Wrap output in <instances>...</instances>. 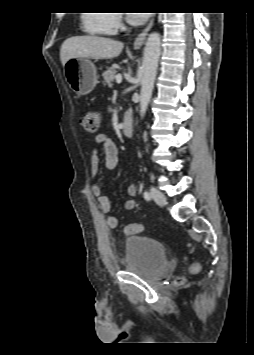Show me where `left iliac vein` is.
<instances>
[{"mask_svg":"<svg viewBox=\"0 0 254 355\" xmlns=\"http://www.w3.org/2000/svg\"><path fill=\"white\" fill-rule=\"evenodd\" d=\"M151 195L153 200L160 206H162L166 201L164 194L153 187L151 188Z\"/></svg>","mask_w":254,"mask_h":355,"instance_id":"left-iliac-vein-1","label":"left iliac vein"}]
</instances>
